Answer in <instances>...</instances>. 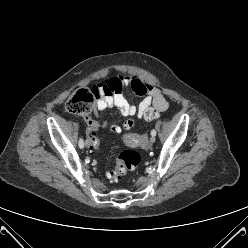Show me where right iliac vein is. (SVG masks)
Segmentation results:
<instances>
[{"label":"right iliac vein","mask_w":248,"mask_h":248,"mask_svg":"<svg viewBox=\"0 0 248 248\" xmlns=\"http://www.w3.org/2000/svg\"><path fill=\"white\" fill-rule=\"evenodd\" d=\"M85 145H86L87 148H89V143H88V141H86Z\"/></svg>","instance_id":"obj_1"}]
</instances>
